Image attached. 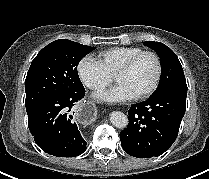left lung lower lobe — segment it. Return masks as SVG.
<instances>
[{"instance_id":"obj_1","label":"left lung lower lobe","mask_w":209,"mask_h":179,"mask_svg":"<svg viewBox=\"0 0 209 179\" xmlns=\"http://www.w3.org/2000/svg\"><path fill=\"white\" fill-rule=\"evenodd\" d=\"M187 87H175L133 104L120 133L123 150L133 157L163 154L175 141L186 110Z\"/></svg>"}]
</instances>
